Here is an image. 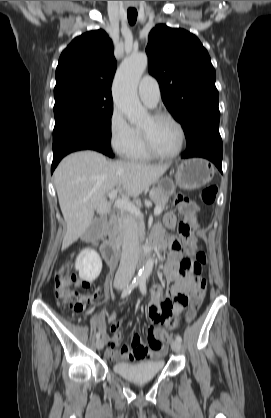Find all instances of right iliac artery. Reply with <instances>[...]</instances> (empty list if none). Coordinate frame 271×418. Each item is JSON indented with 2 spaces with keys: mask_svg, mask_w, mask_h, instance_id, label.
<instances>
[{
  "mask_svg": "<svg viewBox=\"0 0 271 418\" xmlns=\"http://www.w3.org/2000/svg\"><path fill=\"white\" fill-rule=\"evenodd\" d=\"M139 282H140V280L134 279V281H132V283H130L129 285H127V287L123 290V292L121 294V297L122 298H125L127 295H129L132 292V290L139 285ZM100 335H101V333L98 332L96 334V338L99 339L100 338Z\"/></svg>",
  "mask_w": 271,
  "mask_h": 418,
  "instance_id": "right-iliac-artery-1",
  "label": "right iliac artery"
}]
</instances>
